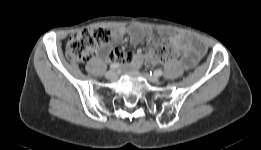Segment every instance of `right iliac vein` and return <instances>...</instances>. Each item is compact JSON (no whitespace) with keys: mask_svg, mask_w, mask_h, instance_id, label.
Listing matches in <instances>:
<instances>
[{"mask_svg":"<svg viewBox=\"0 0 261 150\" xmlns=\"http://www.w3.org/2000/svg\"><path fill=\"white\" fill-rule=\"evenodd\" d=\"M105 77L107 79H115L117 77V73L114 71V70H109L106 74H105Z\"/></svg>","mask_w":261,"mask_h":150,"instance_id":"1","label":"right iliac vein"}]
</instances>
